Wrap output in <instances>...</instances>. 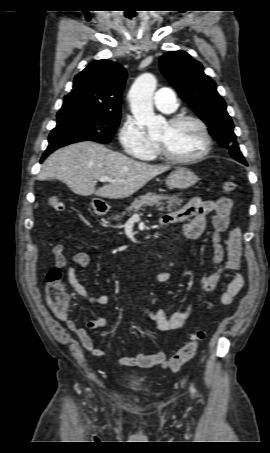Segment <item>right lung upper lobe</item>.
<instances>
[{
  "label": "right lung upper lobe",
  "mask_w": 270,
  "mask_h": 453,
  "mask_svg": "<svg viewBox=\"0 0 270 453\" xmlns=\"http://www.w3.org/2000/svg\"><path fill=\"white\" fill-rule=\"evenodd\" d=\"M125 69L109 60L91 62L75 76L72 91L64 97L57 117L80 112L120 115Z\"/></svg>",
  "instance_id": "1"
}]
</instances>
